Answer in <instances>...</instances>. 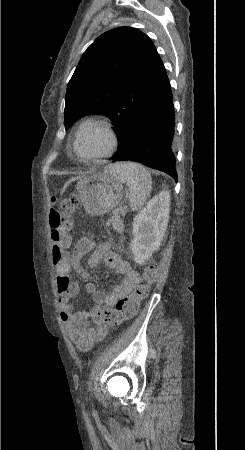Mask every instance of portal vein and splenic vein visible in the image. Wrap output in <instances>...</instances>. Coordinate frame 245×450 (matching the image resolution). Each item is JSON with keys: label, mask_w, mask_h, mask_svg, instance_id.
I'll return each mask as SVG.
<instances>
[{"label": "portal vein and splenic vein", "mask_w": 245, "mask_h": 450, "mask_svg": "<svg viewBox=\"0 0 245 450\" xmlns=\"http://www.w3.org/2000/svg\"><path fill=\"white\" fill-rule=\"evenodd\" d=\"M120 210H121V209H116V210L114 211V214L119 213Z\"/></svg>", "instance_id": "portal-vein-and-splenic-vein-1"}]
</instances>
